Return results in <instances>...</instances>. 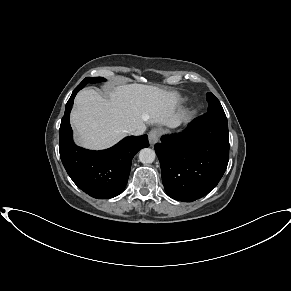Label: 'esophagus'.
<instances>
[{
	"instance_id": "esophagus-1",
	"label": "esophagus",
	"mask_w": 291,
	"mask_h": 291,
	"mask_svg": "<svg viewBox=\"0 0 291 291\" xmlns=\"http://www.w3.org/2000/svg\"><path fill=\"white\" fill-rule=\"evenodd\" d=\"M162 131L160 129L154 128L150 131L149 133V142L150 144H155L158 142L160 136H161Z\"/></svg>"
}]
</instances>
